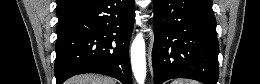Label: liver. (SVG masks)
Here are the masks:
<instances>
[{"label": "liver", "instance_id": "liver-1", "mask_svg": "<svg viewBox=\"0 0 260 84\" xmlns=\"http://www.w3.org/2000/svg\"><path fill=\"white\" fill-rule=\"evenodd\" d=\"M67 84H116V80L97 74H83L69 79Z\"/></svg>", "mask_w": 260, "mask_h": 84}]
</instances>
